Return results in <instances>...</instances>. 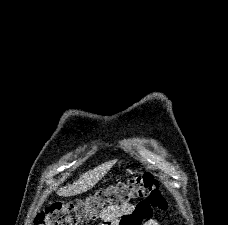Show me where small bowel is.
Returning a JSON list of instances; mask_svg holds the SVG:
<instances>
[{
	"mask_svg": "<svg viewBox=\"0 0 228 225\" xmlns=\"http://www.w3.org/2000/svg\"><path fill=\"white\" fill-rule=\"evenodd\" d=\"M150 209L151 204H147V199H139V204L136 206L127 203L119 208L107 210L99 218L100 225H142V223H144L143 225H159L156 218H151ZM145 218L150 219L146 220Z\"/></svg>",
	"mask_w": 228,
	"mask_h": 225,
	"instance_id": "1",
	"label": "small bowel"
}]
</instances>
